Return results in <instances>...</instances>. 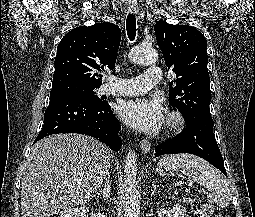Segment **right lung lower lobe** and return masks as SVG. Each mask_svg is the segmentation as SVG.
Returning a JSON list of instances; mask_svg holds the SVG:
<instances>
[{"label":"right lung lower lobe","mask_w":255,"mask_h":217,"mask_svg":"<svg viewBox=\"0 0 255 217\" xmlns=\"http://www.w3.org/2000/svg\"><path fill=\"white\" fill-rule=\"evenodd\" d=\"M121 126L111 106L95 104L73 95L50 96L44 114V125L37 136L40 139L59 133H80L106 143L111 150L119 151L122 141L118 136Z\"/></svg>","instance_id":"obj_1"}]
</instances>
